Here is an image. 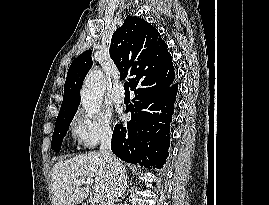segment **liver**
<instances>
[{
    "label": "liver",
    "instance_id": "1",
    "mask_svg": "<svg viewBox=\"0 0 269 205\" xmlns=\"http://www.w3.org/2000/svg\"><path fill=\"white\" fill-rule=\"evenodd\" d=\"M83 178H95L94 190L106 199L112 179L111 170L99 152H88L54 164L51 173L54 205H77L85 200L90 185L80 187L74 184L75 180Z\"/></svg>",
    "mask_w": 269,
    "mask_h": 205
}]
</instances>
